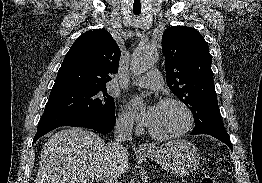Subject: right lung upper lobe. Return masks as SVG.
I'll return each mask as SVG.
<instances>
[{
  "label": "right lung upper lobe",
  "mask_w": 262,
  "mask_h": 183,
  "mask_svg": "<svg viewBox=\"0 0 262 183\" xmlns=\"http://www.w3.org/2000/svg\"><path fill=\"white\" fill-rule=\"evenodd\" d=\"M120 49L109 32L94 29L78 37L67 52L51 92L105 87L118 72Z\"/></svg>",
  "instance_id": "1"
}]
</instances>
